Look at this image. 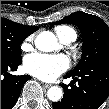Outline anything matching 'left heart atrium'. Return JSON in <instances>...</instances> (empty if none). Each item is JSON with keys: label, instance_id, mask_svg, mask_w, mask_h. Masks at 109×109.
Returning a JSON list of instances; mask_svg holds the SVG:
<instances>
[{"label": "left heart atrium", "instance_id": "obj_1", "mask_svg": "<svg viewBox=\"0 0 109 109\" xmlns=\"http://www.w3.org/2000/svg\"><path fill=\"white\" fill-rule=\"evenodd\" d=\"M24 68L29 74L41 80L52 81L70 68V61L62 54L34 53L25 58Z\"/></svg>", "mask_w": 109, "mask_h": 109}]
</instances>
